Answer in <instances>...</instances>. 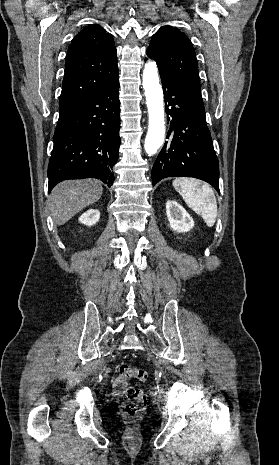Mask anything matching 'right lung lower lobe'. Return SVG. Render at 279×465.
Segmentation results:
<instances>
[{
  "instance_id": "right-lung-lower-lobe-1",
  "label": "right lung lower lobe",
  "mask_w": 279,
  "mask_h": 465,
  "mask_svg": "<svg viewBox=\"0 0 279 465\" xmlns=\"http://www.w3.org/2000/svg\"><path fill=\"white\" fill-rule=\"evenodd\" d=\"M119 77L59 117L48 166L49 192L66 179L97 178L113 184L120 146Z\"/></svg>"
}]
</instances>
